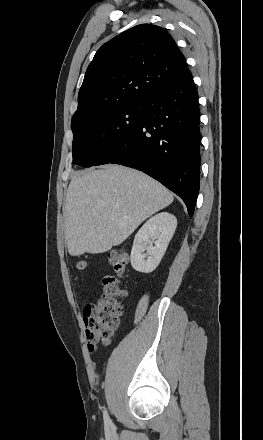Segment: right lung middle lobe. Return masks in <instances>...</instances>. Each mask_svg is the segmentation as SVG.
Listing matches in <instances>:
<instances>
[{"mask_svg":"<svg viewBox=\"0 0 263 440\" xmlns=\"http://www.w3.org/2000/svg\"><path fill=\"white\" fill-rule=\"evenodd\" d=\"M144 102L119 105L86 117L72 128L73 164H107L113 148L126 140L144 118Z\"/></svg>","mask_w":263,"mask_h":440,"instance_id":"dd1d6c3e","label":"right lung middle lobe"}]
</instances>
